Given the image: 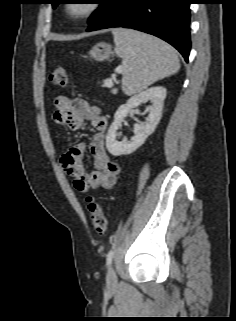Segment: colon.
<instances>
[{"mask_svg": "<svg viewBox=\"0 0 236 321\" xmlns=\"http://www.w3.org/2000/svg\"><path fill=\"white\" fill-rule=\"evenodd\" d=\"M49 82L58 87H66L69 83L67 71L58 66L49 75ZM88 209L94 230L103 235L107 230V219L100 201L93 195L87 197Z\"/></svg>", "mask_w": 236, "mask_h": 321, "instance_id": "obj_1", "label": "colon"}]
</instances>
